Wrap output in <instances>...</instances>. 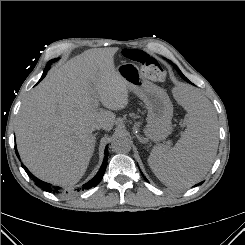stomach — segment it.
I'll return each instance as SVG.
<instances>
[{"label":"stomach","mask_w":245,"mask_h":245,"mask_svg":"<svg viewBox=\"0 0 245 245\" xmlns=\"http://www.w3.org/2000/svg\"><path fill=\"white\" fill-rule=\"evenodd\" d=\"M128 90L143 100L147 109L145 134L153 141L164 140L172 132L173 105L168 94L145 79L134 63H123L117 68Z\"/></svg>","instance_id":"obj_1"}]
</instances>
